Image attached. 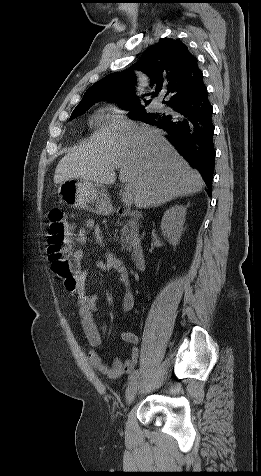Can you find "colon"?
<instances>
[{"instance_id": "colon-1", "label": "colon", "mask_w": 261, "mask_h": 476, "mask_svg": "<svg viewBox=\"0 0 261 476\" xmlns=\"http://www.w3.org/2000/svg\"><path fill=\"white\" fill-rule=\"evenodd\" d=\"M73 225L66 219L64 212L53 208L49 212L48 254L52 269L68 290H74L77 284V270L70 258V243Z\"/></svg>"}]
</instances>
